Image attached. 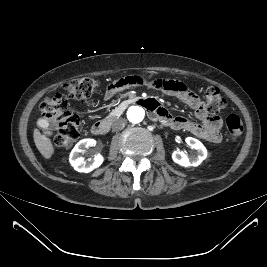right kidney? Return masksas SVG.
<instances>
[{
  "mask_svg": "<svg viewBox=\"0 0 267 267\" xmlns=\"http://www.w3.org/2000/svg\"><path fill=\"white\" fill-rule=\"evenodd\" d=\"M95 144L96 141L94 139H83L75 145L70 153L69 162L76 171L89 173L103 163L104 157L100 153L95 154L88 160H84L82 156L85 148L95 146Z\"/></svg>",
  "mask_w": 267,
  "mask_h": 267,
  "instance_id": "obj_1",
  "label": "right kidney"
}]
</instances>
